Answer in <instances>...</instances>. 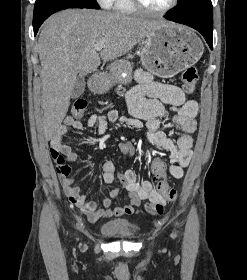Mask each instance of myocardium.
<instances>
[{
    "label": "myocardium",
    "mask_w": 247,
    "mask_h": 280,
    "mask_svg": "<svg viewBox=\"0 0 247 280\" xmlns=\"http://www.w3.org/2000/svg\"><path fill=\"white\" fill-rule=\"evenodd\" d=\"M131 2L134 5V7L142 13H145L148 15H153V16H161V15H165V14L171 12L173 9H175L176 6L178 5L179 0H171V3L167 7L163 8V9H159V10L148 8L142 2V0H131Z\"/></svg>",
    "instance_id": "f54148a6"
}]
</instances>
